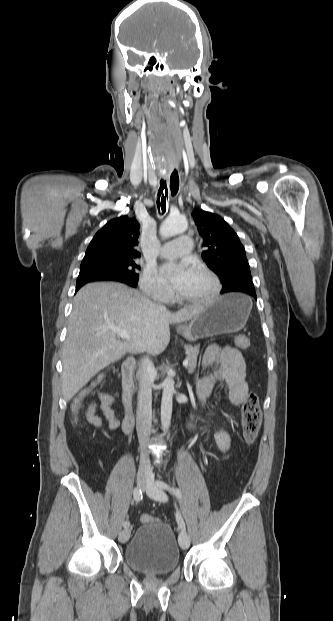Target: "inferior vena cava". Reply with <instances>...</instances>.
<instances>
[{"label": "inferior vena cava", "instance_id": "obj_1", "mask_svg": "<svg viewBox=\"0 0 333 621\" xmlns=\"http://www.w3.org/2000/svg\"><path fill=\"white\" fill-rule=\"evenodd\" d=\"M159 309L165 310V307L159 305ZM155 372L153 362L149 358L141 360L138 371L140 384L136 411V429L140 444V463L147 465L149 457L146 452V444L150 437L152 423V389L151 378Z\"/></svg>", "mask_w": 333, "mask_h": 621}]
</instances>
